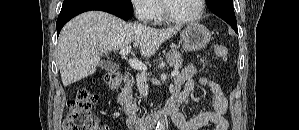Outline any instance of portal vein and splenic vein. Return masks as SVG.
I'll return each instance as SVG.
<instances>
[{
	"mask_svg": "<svg viewBox=\"0 0 299 130\" xmlns=\"http://www.w3.org/2000/svg\"><path fill=\"white\" fill-rule=\"evenodd\" d=\"M131 51V47L130 46H126L124 48H122L120 50V55H127L129 52ZM129 65L133 68V69H136V70H147V67L140 61L138 60H135V59H129L128 61ZM179 74V71L178 69H175L172 73H171V76H177Z\"/></svg>",
	"mask_w": 299,
	"mask_h": 130,
	"instance_id": "1",
	"label": "portal vein and splenic vein"
}]
</instances>
